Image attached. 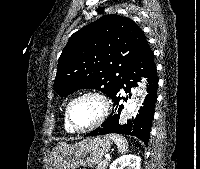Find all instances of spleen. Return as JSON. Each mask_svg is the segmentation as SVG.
I'll use <instances>...</instances> for the list:
<instances>
[{"label": "spleen", "mask_w": 200, "mask_h": 169, "mask_svg": "<svg viewBox=\"0 0 200 169\" xmlns=\"http://www.w3.org/2000/svg\"><path fill=\"white\" fill-rule=\"evenodd\" d=\"M108 137L114 141L120 153H125L128 151V143L123 136L118 134H109Z\"/></svg>", "instance_id": "obj_1"}]
</instances>
